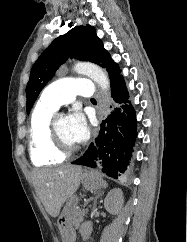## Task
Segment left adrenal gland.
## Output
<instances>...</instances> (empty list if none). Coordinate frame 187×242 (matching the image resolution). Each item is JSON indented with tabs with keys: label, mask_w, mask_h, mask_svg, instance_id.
Here are the masks:
<instances>
[{
	"label": "left adrenal gland",
	"mask_w": 187,
	"mask_h": 242,
	"mask_svg": "<svg viewBox=\"0 0 187 242\" xmlns=\"http://www.w3.org/2000/svg\"><path fill=\"white\" fill-rule=\"evenodd\" d=\"M104 194V191H99L98 194L96 195V197L94 198V204H93V207L95 208L96 205H97V199L99 197H101L102 195Z\"/></svg>",
	"instance_id": "left-adrenal-gland-1"
}]
</instances>
